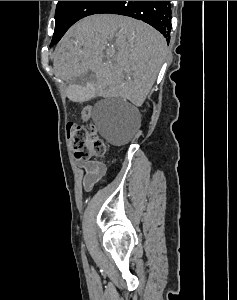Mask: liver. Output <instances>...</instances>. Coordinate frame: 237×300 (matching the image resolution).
Listing matches in <instances>:
<instances>
[{
	"label": "liver",
	"mask_w": 237,
	"mask_h": 300,
	"mask_svg": "<svg viewBox=\"0 0 237 300\" xmlns=\"http://www.w3.org/2000/svg\"><path fill=\"white\" fill-rule=\"evenodd\" d=\"M166 41L156 29L122 15H91L75 23L54 53L57 77L86 71L97 77L105 97L118 95L143 105L164 63Z\"/></svg>",
	"instance_id": "liver-1"
}]
</instances>
